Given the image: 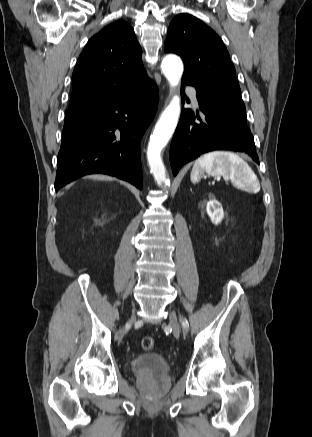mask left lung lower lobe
Segmentation results:
<instances>
[{
    "instance_id": "left-lung-lower-lobe-1",
    "label": "left lung lower lobe",
    "mask_w": 312,
    "mask_h": 437,
    "mask_svg": "<svg viewBox=\"0 0 312 437\" xmlns=\"http://www.w3.org/2000/svg\"><path fill=\"white\" fill-rule=\"evenodd\" d=\"M184 85H190L182 81ZM200 114L182 108L170 147L173 175L180 167L213 150H233L249 154L259 164L254 137L246 123L226 105L196 94ZM185 98L182 90V103ZM197 119L198 121H195Z\"/></svg>"
}]
</instances>
